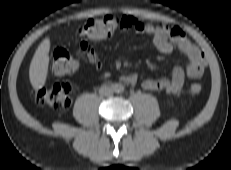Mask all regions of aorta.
I'll return each mask as SVG.
<instances>
[{"label": "aorta", "instance_id": "aorta-1", "mask_svg": "<svg viewBox=\"0 0 231 170\" xmlns=\"http://www.w3.org/2000/svg\"><path fill=\"white\" fill-rule=\"evenodd\" d=\"M115 91L116 92H121V91H123V86H121V85H117L116 87H115Z\"/></svg>", "mask_w": 231, "mask_h": 170}]
</instances>
